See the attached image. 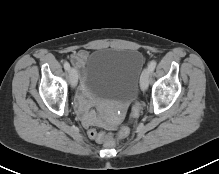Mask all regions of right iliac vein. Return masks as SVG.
<instances>
[{"instance_id":"1","label":"right iliac vein","mask_w":219,"mask_h":174,"mask_svg":"<svg viewBox=\"0 0 219 174\" xmlns=\"http://www.w3.org/2000/svg\"><path fill=\"white\" fill-rule=\"evenodd\" d=\"M69 79L72 87H75L78 81V73L75 68L69 69Z\"/></svg>"}]
</instances>
